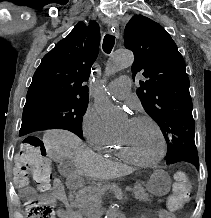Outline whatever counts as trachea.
Instances as JSON below:
<instances>
[{
	"mask_svg": "<svg viewBox=\"0 0 211 218\" xmlns=\"http://www.w3.org/2000/svg\"><path fill=\"white\" fill-rule=\"evenodd\" d=\"M115 44V37L114 35H105L103 39V50L105 53H111L112 48Z\"/></svg>",
	"mask_w": 211,
	"mask_h": 218,
	"instance_id": "3493384b",
	"label": "trachea"
}]
</instances>
